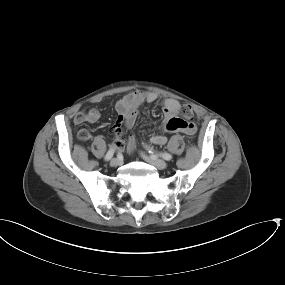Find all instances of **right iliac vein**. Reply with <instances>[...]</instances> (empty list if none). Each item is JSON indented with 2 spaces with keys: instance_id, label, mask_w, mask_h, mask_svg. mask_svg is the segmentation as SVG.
Here are the masks:
<instances>
[{
  "instance_id": "right-iliac-vein-1",
  "label": "right iliac vein",
  "mask_w": 285,
  "mask_h": 285,
  "mask_svg": "<svg viewBox=\"0 0 285 285\" xmlns=\"http://www.w3.org/2000/svg\"><path fill=\"white\" fill-rule=\"evenodd\" d=\"M121 164V160L118 159V158H113L111 161H110V165L113 166V167H117Z\"/></svg>"
}]
</instances>
